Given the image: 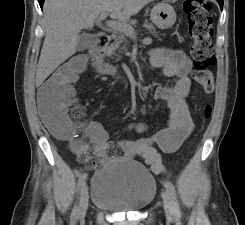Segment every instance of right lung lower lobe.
Returning <instances> with one entry per match:
<instances>
[{
	"mask_svg": "<svg viewBox=\"0 0 245 225\" xmlns=\"http://www.w3.org/2000/svg\"><path fill=\"white\" fill-rule=\"evenodd\" d=\"M44 1H45V0H38L39 5H40L41 8L43 7V2H44Z\"/></svg>",
	"mask_w": 245,
	"mask_h": 225,
	"instance_id": "right-lung-lower-lobe-1",
	"label": "right lung lower lobe"
}]
</instances>
